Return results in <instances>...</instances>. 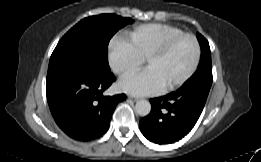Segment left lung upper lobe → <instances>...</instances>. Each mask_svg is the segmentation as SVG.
Wrapping results in <instances>:
<instances>
[{
    "instance_id": "1",
    "label": "left lung upper lobe",
    "mask_w": 261,
    "mask_h": 162,
    "mask_svg": "<svg viewBox=\"0 0 261 162\" xmlns=\"http://www.w3.org/2000/svg\"><path fill=\"white\" fill-rule=\"evenodd\" d=\"M197 39L201 47V58L198 65L197 71L193 76L184 84L192 83H206L212 84V64H211V53L208 41L199 33H197Z\"/></svg>"
}]
</instances>
